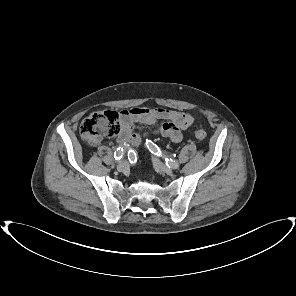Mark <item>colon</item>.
I'll return each instance as SVG.
<instances>
[{
	"label": "colon",
	"mask_w": 296,
	"mask_h": 296,
	"mask_svg": "<svg viewBox=\"0 0 296 296\" xmlns=\"http://www.w3.org/2000/svg\"><path fill=\"white\" fill-rule=\"evenodd\" d=\"M120 130V113L113 110L97 111L83 120L80 135L90 145H97L103 137L116 135ZM196 138L203 140L207 136L204 129L195 131Z\"/></svg>",
	"instance_id": "obj_1"
}]
</instances>
